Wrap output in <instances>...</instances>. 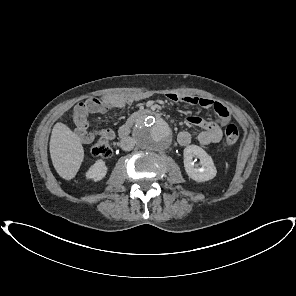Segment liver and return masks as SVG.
Segmentation results:
<instances>
[{"mask_svg":"<svg viewBox=\"0 0 296 296\" xmlns=\"http://www.w3.org/2000/svg\"><path fill=\"white\" fill-rule=\"evenodd\" d=\"M51 160L57 173L65 180L77 174L84 159V149L79 137L65 124L56 123L52 129Z\"/></svg>","mask_w":296,"mask_h":296,"instance_id":"6515ba94","label":"liver"}]
</instances>
